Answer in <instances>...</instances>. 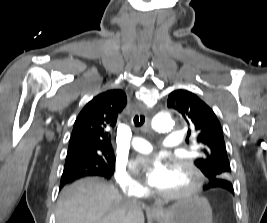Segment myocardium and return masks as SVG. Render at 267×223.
Here are the masks:
<instances>
[{"instance_id":"myocardium-1","label":"myocardium","mask_w":267,"mask_h":223,"mask_svg":"<svg viewBox=\"0 0 267 223\" xmlns=\"http://www.w3.org/2000/svg\"><path fill=\"white\" fill-rule=\"evenodd\" d=\"M171 170H179L182 168L187 169L193 177V183L188 189L177 192H161L157 191V194L168 201L181 200L191 198L197 195L204 183V177L202 172L189 160L184 158H172L169 164Z\"/></svg>"}]
</instances>
